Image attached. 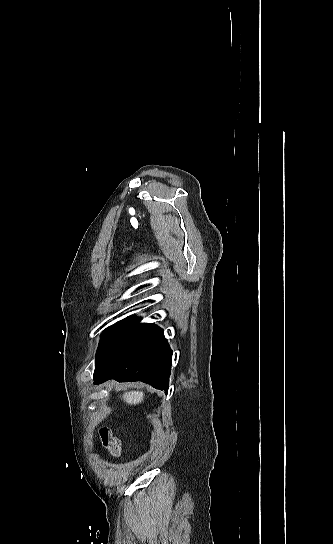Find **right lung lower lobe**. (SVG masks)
Segmentation results:
<instances>
[{"mask_svg": "<svg viewBox=\"0 0 333 544\" xmlns=\"http://www.w3.org/2000/svg\"><path fill=\"white\" fill-rule=\"evenodd\" d=\"M171 365L172 351L163 331L152 325L138 339L96 366L94 383L110 379L141 381L167 392Z\"/></svg>", "mask_w": 333, "mask_h": 544, "instance_id": "obj_1", "label": "right lung lower lobe"}]
</instances>
